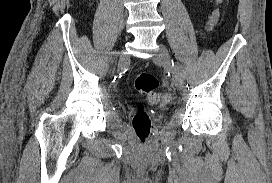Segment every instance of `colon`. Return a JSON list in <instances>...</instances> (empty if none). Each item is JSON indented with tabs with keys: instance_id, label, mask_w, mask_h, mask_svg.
Segmentation results:
<instances>
[{
	"instance_id": "colon-1",
	"label": "colon",
	"mask_w": 272,
	"mask_h": 183,
	"mask_svg": "<svg viewBox=\"0 0 272 183\" xmlns=\"http://www.w3.org/2000/svg\"><path fill=\"white\" fill-rule=\"evenodd\" d=\"M135 89L146 96L151 103H167L170 95L167 93H158V79L149 72L138 74L134 81ZM134 133L141 143H145L150 135L151 121L143 107H139L132 121Z\"/></svg>"
}]
</instances>
